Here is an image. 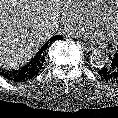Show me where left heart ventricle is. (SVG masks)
<instances>
[{"label":"left heart ventricle","instance_id":"b2bd125f","mask_svg":"<svg viewBox=\"0 0 118 118\" xmlns=\"http://www.w3.org/2000/svg\"><path fill=\"white\" fill-rule=\"evenodd\" d=\"M102 25V32L111 40H118V3L115 5V11L113 12L109 21Z\"/></svg>","mask_w":118,"mask_h":118}]
</instances>
